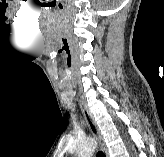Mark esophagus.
I'll list each match as a JSON object with an SVG mask.
<instances>
[{"mask_svg": "<svg viewBox=\"0 0 164 157\" xmlns=\"http://www.w3.org/2000/svg\"><path fill=\"white\" fill-rule=\"evenodd\" d=\"M79 106H80V109L83 113V116H84V118H85V120L88 124V127H89L92 135L98 141L101 150L105 154V157H109L108 149H107V146H106L105 141L103 139V136H102L101 132L99 131V129H98V127H97V125H96V123L93 119V116L91 115L87 105L83 101H80Z\"/></svg>", "mask_w": 164, "mask_h": 157, "instance_id": "esophagus-1", "label": "esophagus"}]
</instances>
